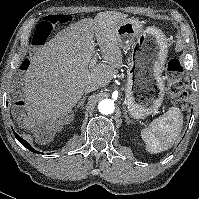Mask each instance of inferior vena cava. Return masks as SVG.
Wrapping results in <instances>:
<instances>
[{
  "mask_svg": "<svg viewBox=\"0 0 199 199\" xmlns=\"http://www.w3.org/2000/svg\"><path fill=\"white\" fill-rule=\"evenodd\" d=\"M99 88V85L97 83H91L89 84L86 88H85V92L88 93V92H92V91H95Z\"/></svg>",
  "mask_w": 199,
  "mask_h": 199,
  "instance_id": "obj_1",
  "label": "inferior vena cava"
}]
</instances>
